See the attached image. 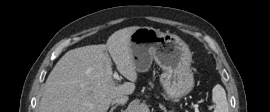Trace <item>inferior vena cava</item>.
<instances>
[{
	"label": "inferior vena cava",
	"mask_w": 270,
	"mask_h": 112,
	"mask_svg": "<svg viewBox=\"0 0 270 112\" xmlns=\"http://www.w3.org/2000/svg\"><path fill=\"white\" fill-rule=\"evenodd\" d=\"M128 101V96H116L112 99V104H125Z\"/></svg>",
	"instance_id": "inferior-vena-cava-1"
}]
</instances>
